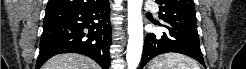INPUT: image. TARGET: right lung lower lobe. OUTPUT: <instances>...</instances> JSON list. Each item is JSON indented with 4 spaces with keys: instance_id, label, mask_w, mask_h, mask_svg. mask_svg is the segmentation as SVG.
Listing matches in <instances>:
<instances>
[{
    "instance_id": "1",
    "label": "right lung lower lobe",
    "mask_w": 246,
    "mask_h": 69,
    "mask_svg": "<svg viewBox=\"0 0 246 69\" xmlns=\"http://www.w3.org/2000/svg\"><path fill=\"white\" fill-rule=\"evenodd\" d=\"M110 8L108 0L86 7L46 9L35 69L59 53H80L103 69L110 66Z\"/></svg>"
}]
</instances>
